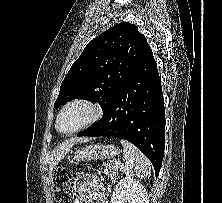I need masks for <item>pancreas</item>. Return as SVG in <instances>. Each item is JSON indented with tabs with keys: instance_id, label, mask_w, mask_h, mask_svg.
Segmentation results:
<instances>
[{
	"instance_id": "pancreas-1",
	"label": "pancreas",
	"mask_w": 222,
	"mask_h": 203,
	"mask_svg": "<svg viewBox=\"0 0 222 203\" xmlns=\"http://www.w3.org/2000/svg\"><path fill=\"white\" fill-rule=\"evenodd\" d=\"M104 166H105L104 173L112 180H115L119 169L118 165H116V161L113 160L108 163H105Z\"/></svg>"
}]
</instances>
